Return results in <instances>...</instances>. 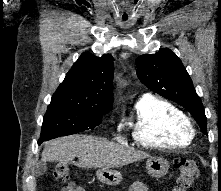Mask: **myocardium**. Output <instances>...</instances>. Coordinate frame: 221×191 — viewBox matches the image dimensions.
I'll return each instance as SVG.
<instances>
[{"mask_svg": "<svg viewBox=\"0 0 221 191\" xmlns=\"http://www.w3.org/2000/svg\"><path fill=\"white\" fill-rule=\"evenodd\" d=\"M184 131L190 138H192L196 133L195 127L190 122H187L184 125Z\"/></svg>", "mask_w": 221, "mask_h": 191, "instance_id": "myocardium-1", "label": "myocardium"}]
</instances>
